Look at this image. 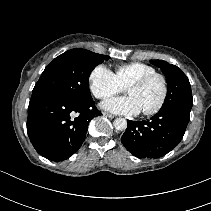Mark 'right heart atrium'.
I'll return each mask as SVG.
<instances>
[{"label": "right heart atrium", "mask_w": 211, "mask_h": 211, "mask_svg": "<svg viewBox=\"0 0 211 211\" xmlns=\"http://www.w3.org/2000/svg\"><path fill=\"white\" fill-rule=\"evenodd\" d=\"M89 88L98 99L109 97L123 90L115 74L103 64H98L91 70Z\"/></svg>", "instance_id": "right-heart-atrium-1"}]
</instances>
